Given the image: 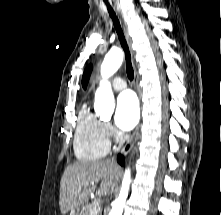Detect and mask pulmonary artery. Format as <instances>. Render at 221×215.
<instances>
[{"label":"pulmonary artery","instance_id":"obj_1","mask_svg":"<svg viewBox=\"0 0 221 215\" xmlns=\"http://www.w3.org/2000/svg\"><path fill=\"white\" fill-rule=\"evenodd\" d=\"M126 86H127L126 82L120 77H116L112 81V87L116 91H121V90L125 89Z\"/></svg>","mask_w":221,"mask_h":215}]
</instances>
